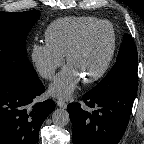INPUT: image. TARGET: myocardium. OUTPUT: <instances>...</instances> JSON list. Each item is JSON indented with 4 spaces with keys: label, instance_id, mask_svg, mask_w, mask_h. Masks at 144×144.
<instances>
[{
    "label": "myocardium",
    "instance_id": "myocardium-1",
    "mask_svg": "<svg viewBox=\"0 0 144 144\" xmlns=\"http://www.w3.org/2000/svg\"><path fill=\"white\" fill-rule=\"evenodd\" d=\"M104 25H108L111 29V46H110L108 55H107L105 61L103 62L102 66L100 67V69L98 71H96L94 74H92L91 76H89L87 78H83V82L86 84L93 83V82L99 80L100 78H102L105 75V73L107 72V70L114 58V55L116 52V47H117V38H116V32H115L113 25L109 21L100 20L97 23L86 27L76 36V38L71 43V45L68 48L67 53L65 55L66 62L69 65L71 58L73 57L75 52L79 49V47L82 45V43L85 41V39L88 37V35L91 32H93L94 30H96L99 27L104 26Z\"/></svg>",
    "mask_w": 144,
    "mask_h": 144
}]
</instances>
